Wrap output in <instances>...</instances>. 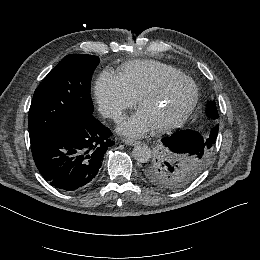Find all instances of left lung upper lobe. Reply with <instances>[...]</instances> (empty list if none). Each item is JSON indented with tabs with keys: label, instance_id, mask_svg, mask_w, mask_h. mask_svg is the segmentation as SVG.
I'll list each match as a JSON object with an SVG mask.
<instances>
[{
	"label": "left lung upper lobe",
	"instance_id": "5c2ea615",
	"mask_svg": "<svg viewBox=\"0 0 260 260\" xmlns=\"http://www.w3.org/2000/svg\"><path fill=\"white\" fill-rule=\"evenodd\" d=\"M206 114L210 119L209 128L199 131L207 136L210 129L218 124V112L214 100L207 103ZM212 148L199 155L177 154L159 143L153 157L144 164L142 174L151 184L169 191L182 189L193 183L210 163Z\"/></svg>",
	"mask_w": 260,
	"mask_h": 260
}]
</instances>
